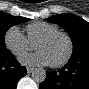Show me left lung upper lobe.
Segmentation results:
<instances>
[{
    "instance_id": "5c2ea615",
    "label": "left lung upper lobe",
    "mask_w": 89,
    "mask_h": 89,
    "mask_svg": "<svg viewBox=\"0 0 89 89\" xmlns=\"http://www.w3.org/2000/svg\"><path fill=\"white\" fill-rule=\"evenodd\" d=\"M46 20L60 25L69 34L73 43L71 58L89 52V23L87 21L70 13L55 15Z\"/></svg>"
}]
</instances>
